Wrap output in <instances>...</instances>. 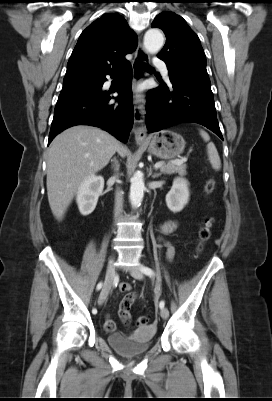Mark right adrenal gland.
Listing matches in <instances>:
<instances>
[{
  "label": "right adrenal gland",
  "mask_w": 272,
  "mask_h": 401,
  "mask_svg": "<svg viewBox=\"0 0 272 401\" xmlns=\"http://www.w3.org/2000/svg\"><path fill=\"white\" fill-rule=\"evenodd\" d=\"M115 163H116V169L115 170H118L119 169V163H118V161L115 159Z\"/></svg>",
  "instance_id": "right-adrenal-gland-1"
}]
</instances>
